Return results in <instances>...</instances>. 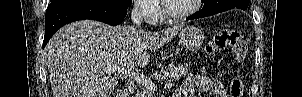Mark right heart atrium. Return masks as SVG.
<instances>
[{
	"mask_svg": "<svg viewBox=\"0 0 302 97\" xmlns=\"http://www.w3.org/2000/svg\"><path fill=\"white\" fill-rule=\"evenodd\" d=\"M137 14L147 23L155 24L162 19L158 0H141L136 3Z\"/></svg>",
	"mask_w": 302,
	"mask_h": 97,
	"instance_id": "obj_1",
	"label": "right heart atrium"
}]
</instances>
